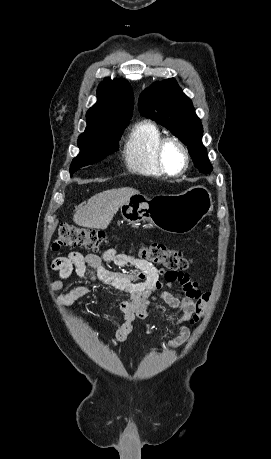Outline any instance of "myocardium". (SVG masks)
<instances>
[{"label":"myocardium","mask_w":271,"mask_h":459,"mask_svg":"<svg viewBox=\"0 0 271 459\" xmlns=\"http://www.w3.org/2000/svg\"><path fill=\"white\" fill-rule=\"evenodd\" d=\"M170 141H174L176 143H178L180 145V147L182 148L184 154H185V157H186V165L184 167L183 170L179 171V172H173L171 171L167 164H166V161H165V158H164V148L166 146V144ZM155 156H156V160L160 166V168L163 170V172L170 176V177H180L182 175H184L190 168L191 166V162H192V156H191V152H190V149L188 147V145L186 144V142L179 136L177 135H174V134H168V135H163L159 141L157 142V145H156V150H155Z\"/></svg>","instance_id":"1"}]
</instances>
